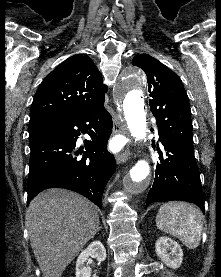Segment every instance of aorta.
<instances>
[{"label": "aorta", "instance_id": "obj_1", "mask_svg": "<svg viewBox=\"0 0 221 277\" xmlns=\"http://www.w3.org/2000/svg\"><path fill=\"white\" fill-rule=\"evenodd\" d=\"M145 77L137 67H127L116 86V94L121 102L124 118L131 136L143 140L147 133V120L144 110ZM151 181L150 166L146 160H138L125 178L124 196L130 198L145 191Z\"/></svg>", "mask_w": 221, "mask_h": 277}]
</instances>
